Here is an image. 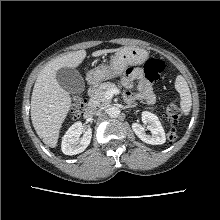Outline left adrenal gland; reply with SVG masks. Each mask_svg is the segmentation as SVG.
<instances>
[{
    "mask_svg": "<svg viewBox=\"0 0 220 220\" xmlns=\"http://www.w3.org/2000/svg\"><path fill=\"white\" fill-rule=\"evenodd\" d=\"M130 107H134V106H132V105H128V106H127V108H130Z\"/></svg>",
    "mask_w": 220,
    "mask_h": 220,
    "instance_id": "obj_1",
    "label": "left adrenal gland"
}]
</instances>
